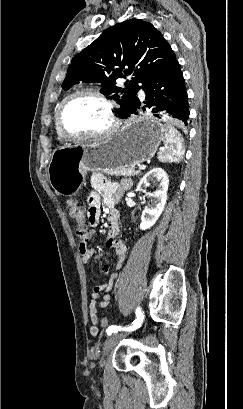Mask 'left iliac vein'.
Here are the masks:
<instances>
[{"instance_id":"4c4485c4","label":"left iliac vein","mask_w":243,"mask_h":409,"mask_svg":"<svg viewBox=\"0 0 243 409\" xmlns=\"http://www.w3.org/2000/svg\"><path fill=\"white\" fill-rule=\"evenodd\" d=\"M122 335L121 334H112L110 335L106 341L104 342L103 345V353H102V358L100 360V366L102 367L105 363V357L109 354V352L112 350L113 347L117 345V343L121 340Z\"/></svg>"}]
</instances>
